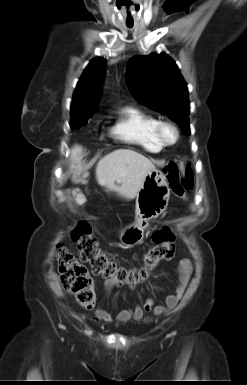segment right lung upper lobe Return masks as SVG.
Wrapping results in <instances>:
<instances>
[{"label":"right lung upper lobe","mask_w":247,"mask_h":385,"mask_svg":"<svg viewBox=\"0 0 247 385\" xmlns=\"http://www.w3.org/2000/svg\"><path fill=\"white\" fill-rule=\"evenodd\" d=\"M106 69L104 58H95L84 70L73 95L71 112L96 110Z\"/></svg>","instance_id":"obj_1"}]
</instances>
